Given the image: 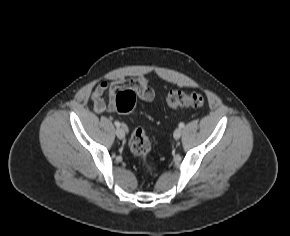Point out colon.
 I'll return each instance as SVG.
<instances>
[{
	"label": "colon",
	"instance_id": "colon-1",
	"mask_svg": "<svg viewBox=\"0 0 290 236\" xmlns=\"http://www.w3.org/2000/svg\"><path fill=\"white\" fill-rule=\"evenodd\" d=\"M136 92L130 88H122L115 96L114 108L118 112L131 113L136 105ZM205 103V97L198 92L185 93L181 90H171L167 96V104L170 108L178 107H202ZM152 144L142 128H135L129 139V148L131 152L146 162L147 156L151 150ZM149 172H154L156 167L152 164H146Z\"/></svg>",
	"mask_w": 290,
	"mask_h": 236
}]
</instances>
